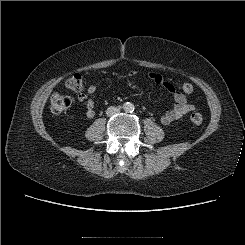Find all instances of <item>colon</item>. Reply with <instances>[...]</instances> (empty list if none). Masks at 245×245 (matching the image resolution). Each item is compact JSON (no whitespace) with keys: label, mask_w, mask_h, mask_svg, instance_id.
<instances>
[{"label":"colon","mask_w":245,"mask_h":245,"mask_svg":"<svg viewBox=\"0 0 245 245\" xmlns=\"http://www.w3.org/2000/svg\"><path fill=\"white\" fill-rule=\"evenodd\" d=\"M66 87L73 92L81 93L84 88L82 76L80 74H74L69 77L66 81ZM181 89L182 92L187 95L193 92V86L190 83H184ZM71 104L72 100L70 97L54 94L50 100V109L53 113L60 114L66 112L71 107ZM190 121L194 125L199 126L203 121V117L199 112H193L190 115Z\"/></svg>","instance_id":"colon-1"}]
</instances>
